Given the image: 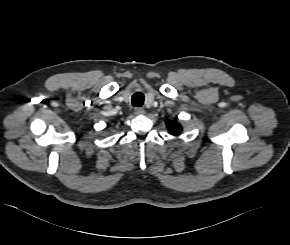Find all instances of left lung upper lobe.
I'll return each instance as SVG.
<instances>
[{
	"instance_id": "left-lung-upper-lobe-1",
	"label": "left lung upper lobe",
	"mask_w": 290,
	"mask_h": 245,
	"mask_svg": "<svg viewBox=\"0 0 290 245\" xmlns=\"http://www.w3.org/2000/svg\"><path fill=\"white\" fill-rule=\"evenodd\" d=\"M167 128L170 134L178 135L182 131V127L175 121H167Z\"/></svg>"
}]
</instances>
